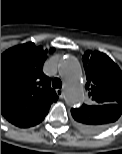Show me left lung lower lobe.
Wrapping results in <instances>:
<instances>
[{"label":"left lung lower lobe","mask_w":122,"mask_h":154,"mask_svg":"<svg viewBox=\"0 0 122 154\" xmlns=\"http://www.w3.org/2000/svg\"><path fill=\"white\" fill-rule=\"evenodd\" d=\"M122 114V105H86L77 112V126L87 132H98L108 128Z\"/></svg>","instance_id":"1"}]
</instances>
